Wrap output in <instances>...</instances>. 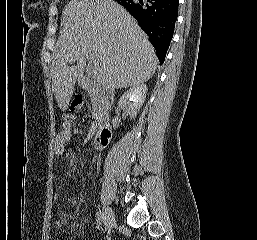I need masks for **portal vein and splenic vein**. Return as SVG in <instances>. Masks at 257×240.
Masks as SVG:
<instances>
[{
	"mask_svg": "<svg viewBox=\"0 0 257 240\" xmlns=\"http://www.w3.org/2000/svg\"><path fill=\"white\" fill-rule=\"evenodd\" d=\"M86 59L89 61V64H93L94 65V68L92 69L93 70V74H94V76H95V78L97 80V83L99 85H101L102 82L100 81V77H99V65H98L96 59L93 56H91V55L86 56Z\"/></svg>",
	"mask_w": 257,
	"mask_h": 240,
	"instance_id": "18ae733b",
	"label": "portal vein and splenic vein"
}]
</instances>
